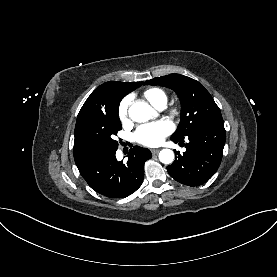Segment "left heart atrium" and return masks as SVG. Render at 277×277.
Listing matches in <instances>:
<instances>
[{
	"label": "left heart atrium",
	"mask_w": 277,
	"mask_h": 277,
	"mask_svg": "<svg viewBox=\"0 0 277 277\" xmlns=\"http://www.w3.org/2000/svg\"><path fill=\"white\" fill-rule=\"evenodd\" d=\"M172 131L173 126L170 122L160 120L139 127L134 137L140 144L153 147L160 145Z\"/></svg>",
	"instance_id": "left-heart-atrium-1"
}]
</instances>
